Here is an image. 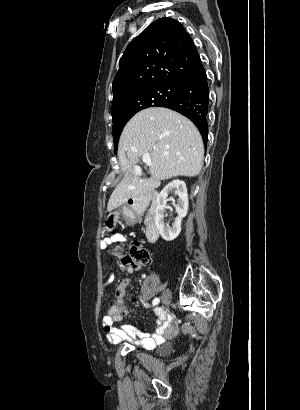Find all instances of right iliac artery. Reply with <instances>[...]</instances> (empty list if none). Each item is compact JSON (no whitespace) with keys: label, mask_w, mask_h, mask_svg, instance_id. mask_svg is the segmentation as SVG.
Listing matches in <instances>:
<instances>
[{"label":"right iliac artery","mask_w":300,"mask_h":410,"mask_svg":"<svg viewBox=\"0 0 300 410\" xmlns=\"http://www.w3.org/2000/svg\"><path fill=\"white\" fill-rule=\"evenodd\" d=\"M160 299L159 298H155L152 302L153 306L157 305L159 303Z\"/></svg>","instance_id":"obj_1"}]
</instances>
